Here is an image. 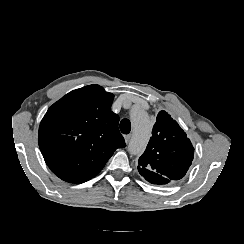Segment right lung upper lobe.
Returning a JSON list of instances; mask_svg holds the SVG:
<instances>
[{"instance_id": "obj_1", "label": "right lung upper lobe", "mask_w": 244, "mask_h": 244, "mask_svg": "<svg viewBox=\"0 0 244 244\" xmlns=\"http://www.w3.org/2000/svg\"><path fill=\"white\" fill-rule=\"evenodd\" d=\"M113 99L99 85H89L66 94L46 112L39 147L48 167L62 180H90L117 148L126 146L119 116L111 111Z\"/></svg>"}]
</instances>
